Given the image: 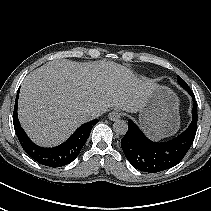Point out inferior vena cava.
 Returning <instances> with one entry per match:
<instances>
[{
	"mask_svg": "<svg viewBox=\"0 0 211 211\" xmlns=\"http://www.w3.org/2000/svg\"><path fill=\"white\" fill-rule=\"evenodd\" d=\"M101 111L100 110H93V111H90L88 113V116L91 118V119H94V118H97L101 115Z\"/></svg>",
	"mask_w": 211,
	"mask_h": 211,
	"instance_id": "1",
	"label": "inferior vena cava"
}]
</instances>
